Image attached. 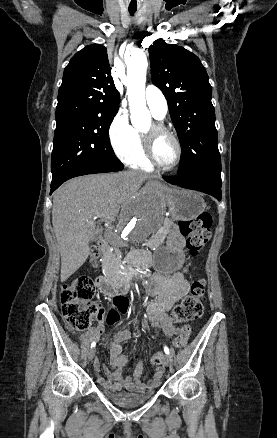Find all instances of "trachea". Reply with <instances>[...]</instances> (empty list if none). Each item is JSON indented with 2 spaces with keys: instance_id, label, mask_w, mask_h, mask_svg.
Wrapping results in <instances>:
<instances>
[{
  "instance_id": "1",
  "label": "trachea",
  "mask_w": 277,
  "mask_h": 438,
  "mask_svg": "<svg viewBox=\"0 0 277 438\" xmlns=\"http://www.w3.org/2000/svg\"><path fill=\"white\" fill-rule=\"evenodd\" d=\"M128 10H129L130 15H134V13H135L136 10H137V7L129 8Z\"/></svg>"
}]
</instances>
